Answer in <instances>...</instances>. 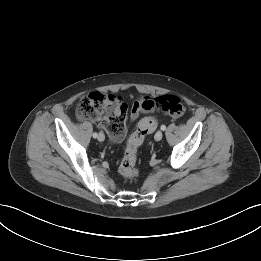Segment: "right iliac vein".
I'll use <instances>...</instances> for the list:
<instances>
[{
  "mask_svg": "<svg viewBox=\"0 0 261 261\" xmlns=\"http://www.w3.org/2000/svg\"><path fill=\"white\" fill-rule=\"evenodd\" d=\"M97 138H98V140H99L100 142H102V141H104V139H105V135H104L102 132H100L99 135L97 136Z\"/></svg>",
  "mask_w": 261,
  "mask_h": 261,
  "instance_id": "1",
  "label": "right iliac vein"
}]
</instances>
